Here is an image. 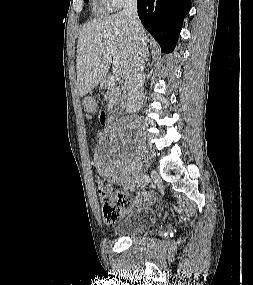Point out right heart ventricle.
<instances>
[{"instance_id":"e07e8e85","label":"right heart ventricle","mask_w":253,"mask_h":285,"mask_svg":"<svg viewBox=\"0 0 253 285\" xmlns=\"http://www.w3.org/2000/svg\"><path fill=\"white\" fill-rule=\"evenodd\" d=\"M98 9L101 10L105 6L103 0H97Z\"/></svg>"}]
</instances>
